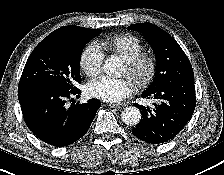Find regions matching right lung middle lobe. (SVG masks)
I'll return each instance as SVG.
<instances>
[{
	"label": "right lung middle lobe",
	"instance_id": "obj_1",
	"mask_svg": "<svg viewBox=\"0 0 224 175\" xmlns=\"http://www.w3.org/2000/svg\"><path fill=\"white\" fill-rule=\"evenodd\" d=\"M101 29L84 28L62 39L42 40L29 56L19 85L43 84L74 90L81 82L80 59L84 45Z\"/></svg>",
	"mask_w": 224,
	"mask_h": 175
}]
</instances>
